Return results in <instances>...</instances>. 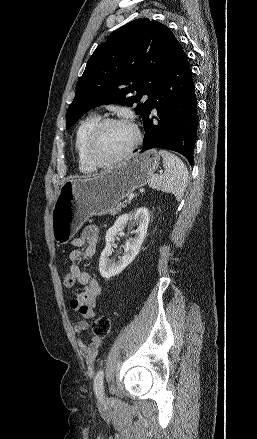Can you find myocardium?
Instances as JSON below:
<instances>
[{
	"label": "myocardium",
	"mask_w": 257,
	"mask_h": 439,
	"mask_svg": "<svg viewBox=\"0 0 257 439\" xmlns=\"http://www.w3.org/2000/svg\"><path fill=\"white\" fill-rule=\"evenodd\" d=\"M111 125H126L133 129L134 131V139L131 142V144L119 155L116 157L110 159V160H100L94 153V145L96 143V140L102 133V131ZM142 140V134L137 126L136 123H134L130 119L126 118H106L100 120L90 131L88 134L86 141H85V153L89 160V162L97 168H105L110 165L116 164L118 162H121L122 160L126 159L128 156L131 155V153L140 145Z\"/></svg>",
	"instance_id": "myocardium-1"
}]
</instances>
